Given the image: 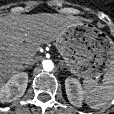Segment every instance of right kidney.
Instances as JSON below:
<instances>
[{
    "mask_svg": "<svg viewBox=\"0 0 114 114\" xmlns=\"http://www.w3.org/2000/svg\"><path fill=\"white\" fill-rule=\"evenodd\" d=\"M28 74L20 72L13 75L0 89V102H13L25 93Z\"/></svg>",
    "mask_w": 114,
    "mask_h": 114,
    "instance_id": "right-kidney-1",
    "label": "right kidney"
}]
</instances>
